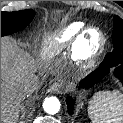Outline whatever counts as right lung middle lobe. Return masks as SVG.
Here are the masks:
<instances>
[{
	"label": "right lung middle lobe",
	"mask_w": 123,
	"mask_h": 123,
	"mask_svg": "<svg viewBox=\"0 0 123 123\" xmlns=\"http://www.w3.org/2000/svg\"><path fill=\"white\" fill-rule=\"evenodd\" d=\"M32 9L16 12L1 11V37L24 29L34 18Z\"/></svg>",
	"instance_id": "1"
}]
</instances>
